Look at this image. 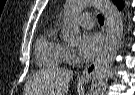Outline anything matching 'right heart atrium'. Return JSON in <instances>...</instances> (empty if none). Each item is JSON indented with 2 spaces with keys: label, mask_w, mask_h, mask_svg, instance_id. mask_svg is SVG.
Returning <instances> with one entry per match:
<instances>
[{
  "label": "right heart atrium",
  "mask_w": 135,
  "mask_h": 95,
  "mask_svg": "<svg viewBox=\"0 0 135 95\" xmlns=\"http://www.w3.org/2000/svg\"><path fill=\"white\" fill-rule=\"evenodd\" d=\"M74 57H75L74 50L69 48V47H66L64 59L67 60V61H71L72 59H74Z\"/></svg>",
  "instance_id": "1"
}]
</instances>
